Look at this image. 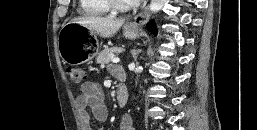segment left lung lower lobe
Here are the masks:
<instances>
[{"label":"left lung lower lobe","mask_w":257,"mask_h":130,"mask_svg":"<svg viewBox=\"0 0 257 130\" xmlns=\"http://www.w3.org/2000/svg\"><path fill=\"white\" fill-rule=\"evenodd\" d=\"M147 28H148V30H150L153 34H156V32H157V31H156V26H155L153 20H151V21L148 22Z\"/></svg>","instance_id":"1"}]
</instances>
